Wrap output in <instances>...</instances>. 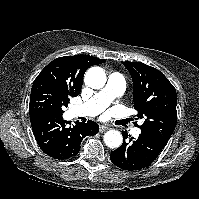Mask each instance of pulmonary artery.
<instances>
[{
    "instance_id": "1",
    "label": "pulmonary artery",
    "mask_w": 199,
    "mask_h": 199,
    "mask_svg": "<svg viewBox=\"0 0 199 199\" xmlns=\"http://www.w3.org/2000/svg\"><path fill=\"white\" fill-rule=\"evenodd\" d=\"M125 90V80L117 72L109 75L106 86L86 102L76 105L71 109L72 116H96L104 111L113 99L120 96ZM139 129H134L132 134L137 137Z\"/></svg>"
}]
</instances>
